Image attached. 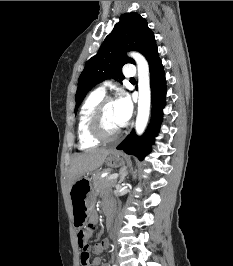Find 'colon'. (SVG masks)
Listing matches in <instances>:
<instances>
[{
  "instance_id": "1",
  "label": "colon",
  "mask_w": 233,
  "mask_h": 266,
  "mask_svg": "<svg viewBox=\"0 0 233 266\" xmlns=\"http://www.w3.org/2000/svg\"><path fill=\"white\" fill-rule=\"evenodd\" d=\"M94 229V225L92 223H90L87 228L85 229H81L78 233V241H79V246L81 249V264L83 266H87L90 261H91V255H90V251H89V247L88 245L84 242V231L85 230H93Z\"/></svg>"
}]
</instances>
